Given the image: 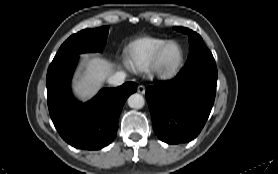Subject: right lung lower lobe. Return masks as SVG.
I'll list each match as a JSON object with an SVG mask.
<instances>
[{"instance_id": "right-lung-lower-lobe-1", "label": "right lung lower lobe", "mask_w": 278, "mask_h": 174, "mask_svg": "<svg viewBox=\"0 0 278 174\" xmlns=\"http://www.w3.org/2000/svg\"><path fill=\"white\" fill-rule=\"evenodd\" d=\"M78 55L51 64L47 72L48 108L60 136L80 149H101L116 136L118 119L128 96L137 84L127 82L114 89L101 90L91 101L82 104L70 92V79Z\"/></svg>"}]
</instances>
